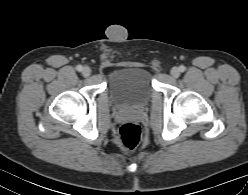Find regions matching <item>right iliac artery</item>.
<instances>
[{
    "instance_id": "obj_1",
    "label": "right iliac artery",
    "mask_w": 248,
    "mask_h": 195,
    "mask_svg": "<svg viewBox=\"0 0 248 195\" xmlns=\"http://www.w3.org/2000/svg\"><path fill=\"white\" fill-rule=\"evenodd\" d=\"M76 69H77L79 72H81V71L83 70V67H82L81 65H78V66L76 67Z\"/></svg>"
}]
</instances>
